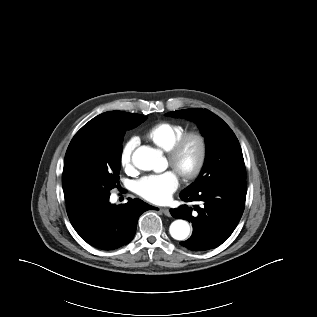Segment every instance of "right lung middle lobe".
<instances>
[{"label":"right lung middle lobe","instance_id":"right-lung-middle-lobe-1","mask_svg":"<svg viewBox=\"0 0 317 317\" xmlns=\"http://www.w3.org/2000/svg\"><path fill=\"white\" fill-rule=\"evenodd\" d=\"M87 123L73 137L66 151L62 185L65 200L86 206L110 196L119 186L122 142L126 130L145 121L140 114L109 111Z\"/></svg>","mask_w":317,"mask_h":317}]
</instances>
